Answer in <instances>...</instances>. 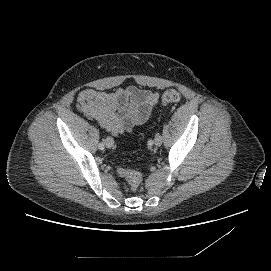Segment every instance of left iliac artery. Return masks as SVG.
I'll use <instances>...</instances> for the list:
<instances>
[{"mask_svg":"<svg viewBox=\"0 0 271 271\" xmlns=\"http://www.w3.org/2000/svg\"><path fill=\"white\" fill-rule=\"evenodd\" d=\"M153 143H154L153 140H149V141L147 142L148 146H150V147L153 145Z\"/></svg>","mask_w":271,"mask_h":271,"instance_id":"left-iliac-artery-1","label":"left iliac artery"}]
</instances>
